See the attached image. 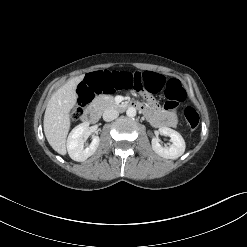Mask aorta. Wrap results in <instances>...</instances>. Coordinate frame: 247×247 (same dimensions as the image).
Segmentation results:
<instances>
[{
  "label": "aorta",
  "instance_id": "1",
  "mask_svg": "<svg viewBox=\"0 0 247 247\" xmlns=\"http://www.w3.org/2000/svg\"><path fill=\"white\" fill-rule=\"evenodd\" d=\"M126 115L128 117H135L136 116V109L134 107H129L126 111Z\"/></svg>",
  "mask_w": 247,
  "mask_h": 247
}]
</instances>
